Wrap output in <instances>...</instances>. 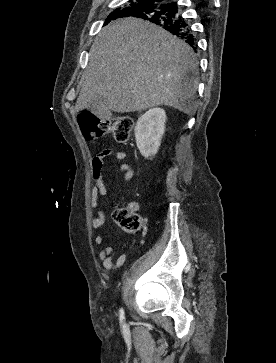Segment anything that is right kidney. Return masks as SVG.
I'll return each instance as SVG.
<instances>
[{"label":"right kidney","instance_id":"obj_1","mask_svg":"<svg viewBox=\"0 0 276 363\" xmlns=\"http://www.w3.org/2000/svg\"><path fill=\"white\" fill-rule=\"evenodd\" d=\"M166 113L161 108H152L141 115L135 126L137 147L145 158L157 154L165 131Z\"/></svg>","mask_w":276,"mask_h":363}]
</instances>
